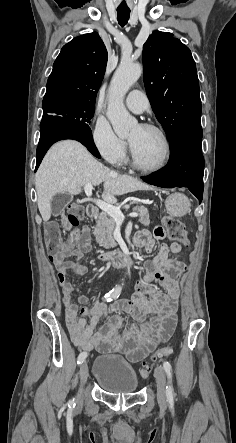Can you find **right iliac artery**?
<instances>
[{"mask_svg":"<svg viewBox=\"0 0 236 443\" xmlns=\"http://www.w3.org/2000/svg\"><path fill=\"white\" fill-rule=\"evenodd\" d=\"M121 293V287L120 286H116L115 288H113L110 292H108L105 296H104V300L107 302H110L112 300H115L119 297ZM87 357V353L86 352H81L78 356V360H77V364L80 365L83 363V361L86 359ZM69 405L74 406V400L69 401Z\"/></svg>","mask_w":236,"mask_h":443,"instance_id":"1","label":"right iliac artery"}]
</instances>
